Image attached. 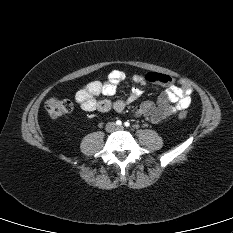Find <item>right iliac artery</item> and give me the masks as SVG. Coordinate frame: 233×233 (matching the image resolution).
Returning a JSON list of instances; mask_svg holds the SVG:
<instances>
[{
  "label": "right iliac artery",
  "mask_w": 233,
  "mask_h": 233,
  "mask_svg": "<svg viewBox=\"0 0 233 233\" xmlns=\"http://www.w3.org/2000/svg\"><path fill=\"white\" fill-rule=\"evenodd\" d=\"M121 124H122L121 120L116 121V125H121Z\"/></svg>",
  "instance_id": "right-iliac-artery-1"
}]
</instances>
